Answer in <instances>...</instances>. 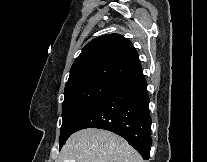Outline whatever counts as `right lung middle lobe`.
<instances>
[{"label": "right lung middle lobe", "instance_id": "right-lung-middle-lobe-1", "mask_svg": "<svg viewBox=\"0 0 207 162\" xmlns=\"http://www.w3.org/2000/svg\"><path fill=\"white\" fill-rule=\"evenodd\" d=\"M115 86L89 85L64 92L59 148L74 133L79 123L103 100Z\"/></svg>", "mask_w": 207, "mask_h": 162}]
</instances>
